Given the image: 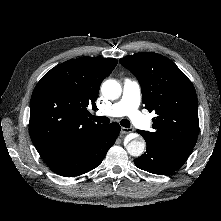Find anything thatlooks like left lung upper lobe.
<instances>
[{"label":"left lung upper lobe","instance_id":"left-lung-upper-lobe-1","mask_svg":"<svg viewBox=\"0 0 221 221\" xmlns=\"http://www.w3.org/2000/svg\"><path fill=\"white\" fill-rule=\"evenodd\" d=\"M119 62L137 77L145 108L157 114L152 132L140 130L146 143L190 154L199 132L198 102L191 81L174 62L157 53H136Z\"/></svg>","mask_w":221,"mask_h":221}]
</instances>
